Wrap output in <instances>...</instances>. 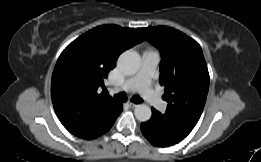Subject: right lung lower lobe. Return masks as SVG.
<instances>
[{
  "label": "right lung lower lobe",
  "instance_id": "obj_1",
  "mask_svg": "<svg viewBox=\"0 0 261 162\" xmlns=\"http://www.w3.org/2000/svg\"><path fill=\"white\" fill-rule=\"evenodd\" d=\"M112 125H113V124H112ZM112 125H111L105 132H107V131L112 127ZM105 132H104V133H105ZM102 134H103V133H102ZM102 134H101V135H102Z\"/></svg>",
  "mask_w": 261,
  "mask_h": 162
}]
</instances>
